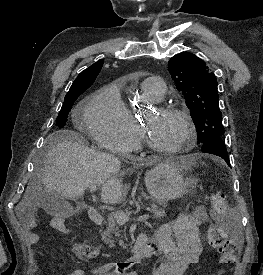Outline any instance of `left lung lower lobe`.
<instances>
[{
    "instance_id": "obj_1",
    "label": "left lung lower lobe",
    "mask_w": 263,
    "mask_h": 275,
    "mask_svg": "<svg viewBox=\"0 0 263 275\" xmlns=\"http://www.w3.org/2000/svg\"><path fill=\"white\" fill-rule=\"evenodd\" d=\"M201 151L203 153L214 154L223 158L225 162H227V164L231 167L226 146L220 137L205 142L202 146Z\"/></svg>"
}]
</instances>
